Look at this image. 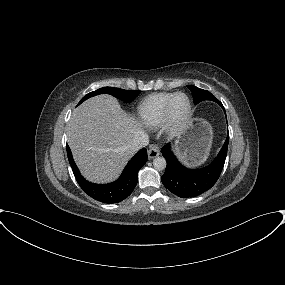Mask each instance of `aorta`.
Instances as JSON below:
<instances>
[{"label": "aorta", "instance_id": "aorta-1", "mask_svg": "<svg viewBox=\"0 0 285 285\" xmlns=\"http://www.w3.org/2000/svg\"><path fill=\"white\" fill-rule=\"evenodd\" d=\"M153 166L156 170H164L166 168V160L164 157H156L153 160Z\"/></svg>", "mask_w": 285, "mask_h": 285}]
</instances>
